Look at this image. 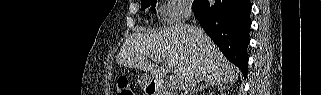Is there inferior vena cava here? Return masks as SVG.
Instances as JSON below:
<instances>
[{
	"mask_svg": "<svg viewBox=\"0 0 321 95\" xmlns=\"http://www.w3.org/2000/svg\"><path fill=\"white\" fill-rule=\"evenodd\" d=\"M202 79L201 77L198 78V76H196L194 79H191L188 83V85L186 86L185 88V93L184 95H187L188 94V91H190V95H191V91L193 90V88H195L196 84L198 82H200Z\"/></svg>",
	"mask_w": 321,
	"mask_h": 95,
	"instance_id": "inferior-vena-cava-1",
	"label": "inferior vena cava"
}]
</instances>
